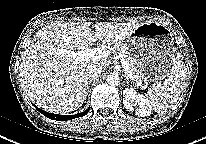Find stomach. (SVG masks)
Masks as SVG:
<instances>
[{"label": "stomach", "instance_id": "0dacf381", "mask_svg": "<svg viewBox=\"0 0 206 144\" xmlns=\"http://www.w3.org/2000/svg\"><path fill=\"white\" fill-rule=\"evenodd\" d=\"M124 44L139 73L137 83L157 82L170 73L177 49L165 25L158 22L140 24Z\"/></svg>", "mask_w": 206, "mask_h": 144}]
</instances>
